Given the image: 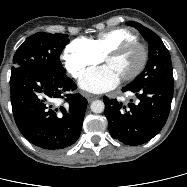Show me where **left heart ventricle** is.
I'll return each instance as SVG.
<instances>
[{"label":"left heart ventricle","mask_w":187,"mask_h":187,"mask_svg":"<svg viewBox=\"0 0 187 187\" xmlns=\"http://www.w3.org/2000/svg\"><path fill=\"white\" fill-rule=\"evenodd\" d=\"M142 58L141 49L135 47L127 50L118 57L108 58L106 65L110 66L122 79L132 73L140 64Z\"/></svg>","instance_id":"left-heart-ventricle-1"}]
</instances>
